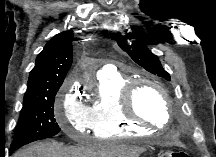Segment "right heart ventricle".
I'll use <instances>...</instances> for the list:
<instances>
[{"label": "right heart ventricle", "mask_w": 216, "mask_h": 157, "mask_svg": "<svg viewBox=\"0 0 216 157\" xmlns=\"http://www.w3.org/2000/svg\"><path fill=\"white\" fill-rule=\"evenodd\" d=\"M130 78L122 73L98 78L97 96L89 106L94 137H130L144 135L151 128L134 123L124 116L120 98L122 88Z\"/></svg>", "instance_id": "right-heart-ventricle-1"}]
</instances>
